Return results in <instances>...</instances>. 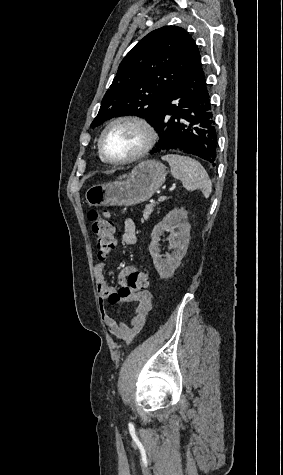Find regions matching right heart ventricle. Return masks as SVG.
<instances>
[{"mask_svg": "<svg viewBox=\"0 0 283 475\" xmlns=\"http://www.w3.org/2000/svg\"><path fill=\"white\" fill-rule=\"evenodd\" d=\"M98 157H99V159H100L101 162H105V161L100 157L99 153H98Z\"/></svg>", "mask_w": 283, "mask_h": 475, "instance_id": "e07e8e85", "label": "right heart ventricle"}]
</instances>
